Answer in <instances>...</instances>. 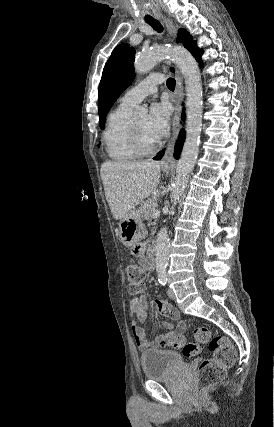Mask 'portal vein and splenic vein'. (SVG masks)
Instances as JSON below:
<instances>
[{"instance_id": "1", "label": "portal vein and splenic vein", "mask_w": 274, "mask_h": 427, "mask_svg": "<svg viewBox=\"0 0 274 427\" xmlns=\"http://www.w3.org/2000/svg\"><path fill=\"white\" fill-rule=\"evenodd\" d=\"M158 215H160L159 210H155V212H154V214H153V217H158Z\"/></svg>"}]
</instances>
